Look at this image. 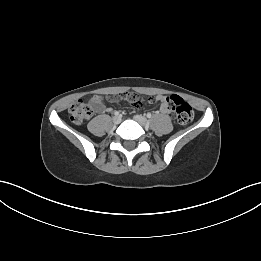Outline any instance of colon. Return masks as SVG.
<instances>
[{
	"instance_id": "colon-1",
	"label": "colon",
	"mask_w": 261,
	"mask_h": 261,
	"mask_svg": "<svg viewBox=\"0 0 261 261\" xmlns=\"http://www.w3.org/2000/svg\"><path fill=\"white\" fill-rule=\"evenodd\" d=\"M132 92V91H130ZM157 100H159L157 98ZM165 102L168 114L176 117L180 124H189L194 118L193 108L189 103L177 95H169L160 99ZM70 119L75 124H82L92 115L91 107L79 100L74 102L69 109Z\"/></svg>"
}]
</instances>
